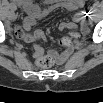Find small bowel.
Instances as JSON below:
<instances>
[{
  "instance_id": "c3829d8e",
  "label": "small bowel",
  "mask_w": 103,
  "mask_h": 103,
  "mask_svg": "<svg viewBox=\"0 0 103 103\" xmlns=\"http://www.w3.org/2000/svg\"><path fill=\"white\" fill-rule=\"evenodd\" d=\"M85 5V2L83 0H58V1H48L45 7H40L39 5L29 1V0H17L11 2L9 4V8L12 10H15L17 7L21 8L26 12V17L23 20L22 26H16L14 28V34L21 39H24L28 42L32 43H38L40 41H43L45 39L44 32L38 30L35 32H31L32 28L36 24V22L50 14L51 12L59 9H65L68 11H74L79 8H82ZM11 10V11H12ZM11 14L15 13L11 12ZM89 17V12H83L81 14H78L75 16V21L79 22L81 24V28L83 32L87 31V20ZM77 27L76 23L74 22H62L59 24L60 30H66V29H75ZM73 50V46L62 52L59 57V62L63 63L65 62L71 55ZM43 53V50L40 45H36L34 48V57L39 58Z\"/></svg>"
}]
</instances>
